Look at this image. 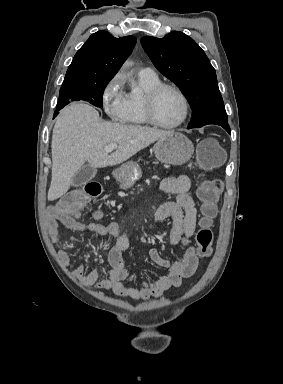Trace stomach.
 <instances>
[{
    "mask_svg": "<svg viewBox=\"0 0 283 384\" xmlns=\"http://www.w3.org/2000/svg\"><path fill=\"white\" fill-rule=\"evenodd\" d=\"M154 152L159 162L181 166L192 158L194 148L191 140H188L183 134H171V136L158 140ZM114 178L120 182L122 190H128L141 178V170L136 162H126L115 170Z\"/></svg>",
    "mask_w": 283,
    "mask_h": 384,
    "instance_id": "0dacf381",
    "label": "stomach"
}]
</instances>
